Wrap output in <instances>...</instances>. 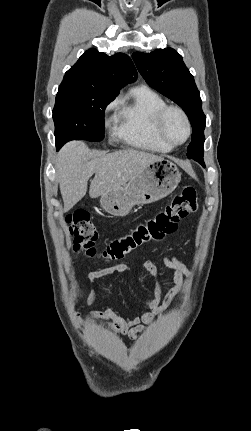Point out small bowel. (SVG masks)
I'll return each mask as SVG.
<instances>
[{"mask_svg": "<svg viewBox=\"0 0 251 431\" xmlns=\"http://www.w3.org/2000/svg\"><path fill=\"white\" fill-rule=\"evenodd\" d=\"M164 264L175 271L174 285L168 293L162 297L161 285L159 283V271L156 263L152 260H147L144 263V268L155 278L156 285L153 296L144 302V306L148 309L141 316L129 315L121 316L113 309L94 310L89 313V316L95 321H102L107 324L112 330L119 335H124L132 340L137 339L144 332L148 325H151L159 315L167 309L175 295L179 292L182 285L183 275H189L188 267L176 257H163ZM131 267L124 262L113 266L100 268L91 271L88 274V279L93 282L96 279L113 275L128 273ZM96 298L94 290L87 297V304L91 305ZM78 316V315H77Z\"/></svg>", "mask_w": 251, "mask_h": 431, "instance_id": "c3829d8e", "label": "small bowel"}]
</instances>
